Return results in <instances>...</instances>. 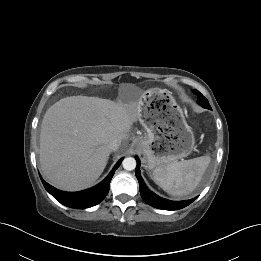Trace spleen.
I'll use <instances>...</instances> for the list:
<instances>
[{
	"instance_id": "obj_1",
	"label": "spleen",
	"mask_w": 261,
	"mask_h": 261,
	"mask_svg": "<svg viewBox=\"0 0 261 261\" xmlns=\"http://www.w3.org/2000/svg\"><path fill=\"white\" fill-rule=\"evenodd\" d=\"M209 163V156H201L180 162L174 161L155 168L151 179L171 195H188L199 184Z\"/></svg>"
}]
</instances>
